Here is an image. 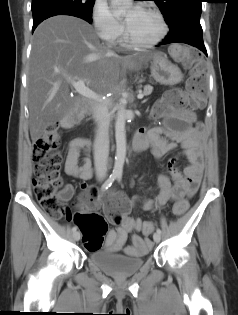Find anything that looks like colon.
I'll return each instance as SVG.
<instances>
[{
	"label": "colon",
	"mask_w": 238,
	"mask_h": 315,
	"mask_svg": "<svg viewBox=\"0 0 238 315\" xmlns=\"http://www.w3.org/2000/svg\"><path fill=\"white\" fill-rule=\"evenodd\" d=\"M172 57L192 67L186 91L181 89L169 90L162 100L153 109V115L158 117L169 109L190 108L199 109L205 104L206 72L201 61V54L194 49L181 45L170 47ZM61 136L56 124L49 125L44 133L35 141L33 149V161L36 177L33 180V191L40 206L53 215H69L83 234V244L88 250L99 249L108 226L105 218L93 211L84 210L73 215L65 200L58 197V191L62 186L60 175L62 157L59 151ZM87 205L96 204L98 201L95 189L82 187ZM110 220L121 224L129 213V205L121 196H112L105 203ZM188 209V202L180 200L172 207V214L183 215ZM154 231L153 222H145L142 228L144 235L149 236Z\"/></svg>",
	"instance_id": "obj_1"
}]
</instances>
